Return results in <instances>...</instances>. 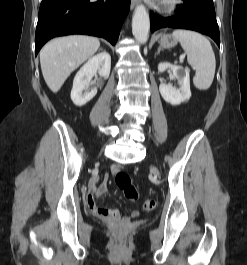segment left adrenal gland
Masks as SVG:
<instances>
[{
	"mask_svg": "<svg viewBox=\"0 0 247 265\" xmlns=\"http://www.w3.org/2000/svg\"><path fill=\"white\" fill-rule=\"evenodd\" d=\"M161 50H162L161 47H159L158 51H157V54H160Z\"/></svg>",
	"mask_w": 247,
	"mask_h": 265,
	"instance_id": "obj_1",
	"label": "left adrenal gland"
}]
</instances>
